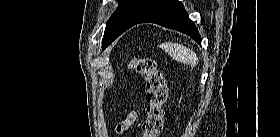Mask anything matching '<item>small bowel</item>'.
<instances>
[{"mask_svg": "<svg viewBox=\"0 0 280 137\" xmlns=\"http://www.w3.org/2000/svg\"><path fill=\"white\" fill-rule=\"evenodd\" d=\"M138 114L136 111H130L122 123L131 127L137 120Z\"/></svg>", "mask_w": 280, "mask_h": 137, "instance_id": "small-bowel-1", "label": "small bowel"}]
</instances>
